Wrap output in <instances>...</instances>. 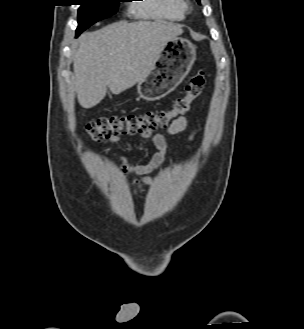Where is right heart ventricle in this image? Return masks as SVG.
I'll return each instance as SVG.
<instances>
[{
	"label": "right heart ventricle",
	"mask_w": 304,
	"mask_h": 329,
	"mask_svg": "<svg viewBox=\"0 0 304 329\" xmlns=\"http://www.w3.org/2000/svg\"><path fill=\"white\" fill-rule=\"evenodd\" d=\"M132 11L138 17L181 21L185 16V0H139Z\"/></svg>",
	"instance_id": "1"
}]
</instances>
